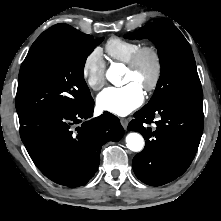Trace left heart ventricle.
Listing matches in <instances>:
<instances>
[{"label": "left heart ventricle", "instance_id": "1", "mask_svg": "<svg viewBox=\"0 0 221 221\" xmlns=\"http://www.w3.org/2000/svg\"><path fill=\"white\" fill-rule=\"evenodd\" d=\"M153 72V63L150 57H147L140 69L137 72H133L127 69L125 82H137L141 87L148 82Z\"/></svg>", "mask_w": 221, "mask_h": 221}]
</instances>
